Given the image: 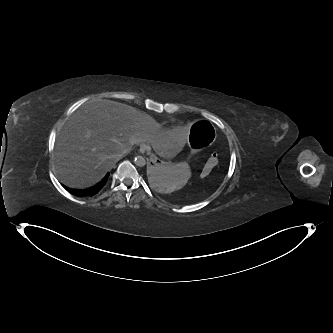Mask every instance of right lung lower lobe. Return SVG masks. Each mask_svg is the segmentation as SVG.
I'll return each instance as SVG.
<instances>
[{
  "instance_id": "1",
  "label": "right lung lower lobe",
  "mask_w": 333,
  "mask_h": 333,
  "mask_svg": "<svg viewBox=\"0 0 333 333\" xmlns=\"http://www.w3.org/2000/svg\"><path fill=\"white\" fill-rule=\"evenodd\" d=\"M109 177V173L105 176V178L96 186L85 189V190H72L68 189V191L78 197H89L96 195L106 184Z\"/></svg>"
}]
</instances>
